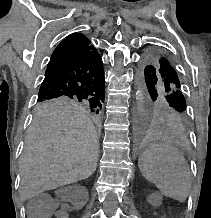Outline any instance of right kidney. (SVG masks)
Here are the masks:
<instances>
[{"mask_svg":"<svg viewBox=\"0 0 211 218\" xmlns=\"http://www.w3.org/2000/svg\"><path fill=\"white\" fill-rule=\"evenodd\" d=\"M55 201H60V198L55 197ZM62 211H64V214H71L73 207L70 206V202H65V206H62ZM61 218H71V215H61Z\"/></svg>","mask_w":211,"mask_h":218,"instance_id":"ca27d5eb","label":"right kidney"}]
</instances>
